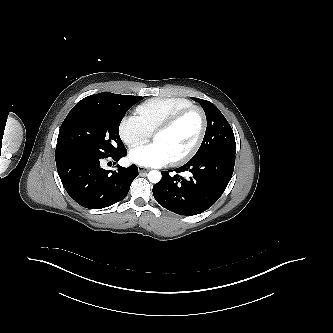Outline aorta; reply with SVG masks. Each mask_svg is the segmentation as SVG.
I'll list each match as a JSON object with an SVG mask.
<instances>
[{
    "label": "aorta",
    "instance_id": "762f6f07",
    "mask_svg": "<svg viewBox=\"0 0 333 333\" xmlns=\"http://www.w3.org/2000/svg\"><path fill=\"white\" fill-rule=\"evenodd\" d=\"M148 180L151 183H158L161 180V173L157 170H152L148 173Z\"/></svg>",
    "mask_w": 333,
    "mask_h": 333
}]
</instances>
